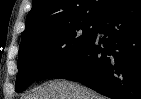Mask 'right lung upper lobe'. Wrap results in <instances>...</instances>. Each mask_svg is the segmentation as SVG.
Masks as SVG:
<instances>
[{
    "label": "right lung upper lobe",
    "instance_id": "1",
    "mask_svg": "<svg viewBox=\"0 0 141 99\" xmlns=\"http://www.w3.org/2000/svg\"><path fill=\"white\" fill-rule=\"evenodd\" d=\"M118 0H33L22 43L79 22L97 21Z\"/></svg>",
    "mask_w": 141,
    "mask_h": 99
}]
</instances>
